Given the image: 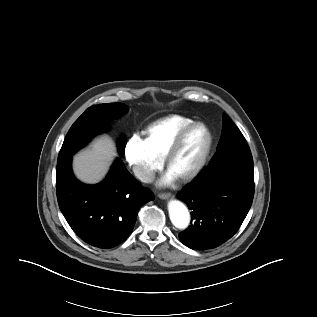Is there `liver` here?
<instances>
[{
	"label": "liver",
	"instance_id": "obj_1",
	"mask_svg": "<svg viewBox=\"0 0 317 317\" xmlns=\"http://www.w3.org/2000/svg\"><path fill=\"white\" fill-rule=\"evenodd\" d=\"M116 156L114 142L107 136L100 137L93 141L90 148L74 156V173L82 182L97 183L105 176Z\"/></svg>",
	"mask_w": 317,
	"mask_h": 317
}]
</instances>
